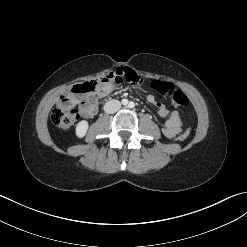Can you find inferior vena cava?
Masks as SVG:
<instances>
[{
	"instance_id": "inferior-vena-cava-1",
	"label": "inferior vena cava",
	"mask_w": 247,
	"mask_h": 247,
	"mask_svg": "<svg viewBox=\"0 0 247 247\" xmlns=\"http://www.w3.org/2000/svg\"><path fill=\"white\" fill-rule=\"evenodd\" d=\"M121 108V103L118 100H110L105 103L104 111L108 114H113Z\"/></svg>"
}]
</instances>
